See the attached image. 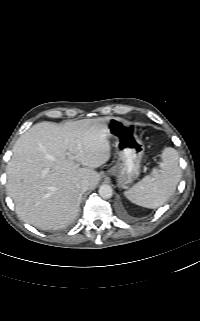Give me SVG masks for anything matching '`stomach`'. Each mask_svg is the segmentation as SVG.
I'll return each mask as SVG.
<instances>
[{
    "label": "stomach",
    "mask_w": 200,
    "mask_h": 321,
    "mask_svg": "<svg viewBox=\"0 0 200 321\" xmlns=\"http://www.w3.org/2000/svg\"><path fill=\"white\" fill-rule=\"evenodd\" d=\"M107 130L109 137L114 140L118 155V160L109 170V174L116 177L118 186L125 188L141 173L144 145L138 139L134 125L122 118H109Z\"/></svg>",
    "instance_id": "stomach-1"
}]
</instances>
